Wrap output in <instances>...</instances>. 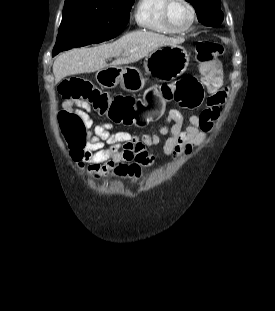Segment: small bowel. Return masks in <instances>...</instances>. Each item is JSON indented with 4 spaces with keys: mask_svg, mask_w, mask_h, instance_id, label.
Wrapping results in <instances>:
<instances>
[{
    "mask_svg": "<svg viewBox=\"0 0 275 311\" xmlns=\"http://www.w3.org/2000/svg\"><path fill=\"white\" fill-rule=\"evenodd\" d=\"M222 82L220 72L205 79V84L212 93L207 100L208 106H202L199 116H190L185 128L184 115L179 109L173 108L167 112L164 125L155 133L113 131L110 123H93L87 113L90 110L88 103L75 104L65 101L64 110L77 112L88 128V143L75 155L77 168L83 174L98 180L107 176L117 164L134 161L142 166H153L156 158L147 148L160 144L165 136L167 138L163 144V156L165 159L175 158L185 144L199 140L204 132L211 130L212 121L220 112L218 106L227 96V91L221 90ZM185 109L192 112L194 108L187 105ZM121 172L126 173L125 170Z\"/></svg>",
    "mask_w": 275,
    "mask_h": 311,
    "instance_id": "obj_1",
    "label": "small bowel"
}]
</instances>
